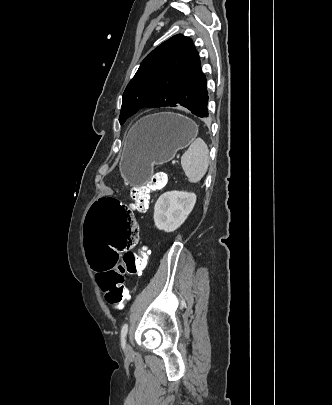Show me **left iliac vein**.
Returning <instances> with one entry per match:
<instances>
[{
  "label": "left iliac vein",
  "mask_w": 332,
  "mask_h": 405,
  "mask_svg": "<svg viewBox=\"0 0 332 405\" xmlns=\"http://www.w3.org/2000/svg\"><path fill=\"white\" fill-rule=\"evenodd\" d=\"M124 348H125V354H126L127 357H130V356L133 355L132 347L128 343L125 344Z\"/></svg>",
  "instance_id": "1"
}]
</instances>
